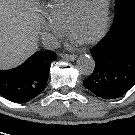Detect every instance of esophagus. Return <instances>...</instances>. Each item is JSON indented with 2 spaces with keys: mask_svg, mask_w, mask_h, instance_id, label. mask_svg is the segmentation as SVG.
<instances>
[{
  "mask_svg": "<svg viewBox=\"0 0 135 135\" xmlns=\"http://www.w3.org/2000/svg\"><path fill=\"white\" fill-rule=\"evenodd\" d=\"M60 56H61L63 59L69 60V61H74V60H76V58H77V56L74 55V54H71V55H69V54H60Z\"/></svg>",
  "mask_w": 135,
  "mask_h": 135,
  "instance_id": "1",
  "label": "esophagus"
}]
</instances>
